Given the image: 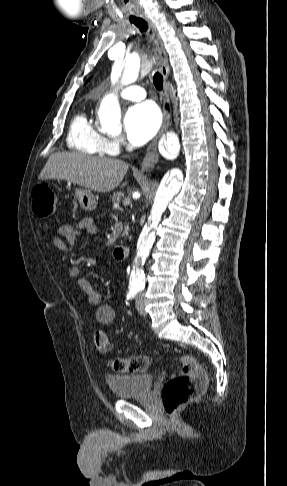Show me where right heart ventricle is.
<instances>
[{"label":"right heart ventricle","instance_id":"e07e8e85","mask_svg":"<svg viewBox=\"0 0 287 486\" xmlns=\"http://www.w3.org/2000/svg\"><path fill=\"white\" fill-rule=\"evenodd\" d=\"M68 146L80 153L104 156L112 152L108 139L97 129L85 112L77 114L69 128Z\"/></svg>","mask_w":287,"mask_h":486}]
</instances>
